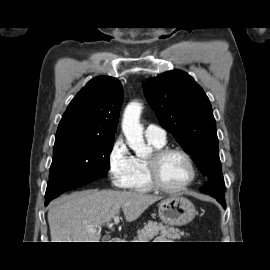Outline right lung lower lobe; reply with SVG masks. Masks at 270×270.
<instances>
[{"label": "right lung lower lobe", "instance_id": "obj_1", "mask_svg": "<svg viewBox=\"0 0 270 270\" xmlns=\"http://www.w3.org/2000/svg\"><path fill=\"white\" fill-rule=\"evenodd\" d=\"M52 199H54V198H52V197H46L45 205H48L49 202H50Z\"/></svg>", "mask_w": 270, "mask_h": 270}]
</instances>
